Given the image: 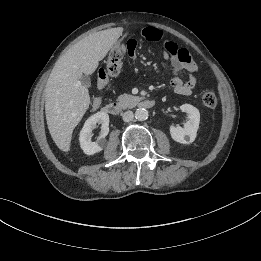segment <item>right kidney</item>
<instances>
[{
	"label": "right kidney",
	"instance_id": "obj_1",
	"mask_svg": "<svg viewBox=\"0 0 261 261\" xmlns=\"http://www.w3.org/2000/svg\"><path fill=\"white\" fill-rule=\"evenodd\" d=\"M96 124H101V132L97 141L92 142V130L96 127ZM109 133V115L105 112H97L90 116L84 123V126L80 132L79 142L83 152L87 155H93L103 150L106 146L105 137Z\"/></svg>",
	"mask_w": 261,
	"mask_h": 261
}]
</instances>
